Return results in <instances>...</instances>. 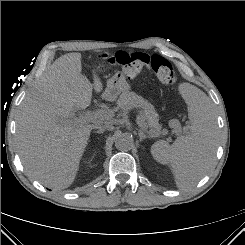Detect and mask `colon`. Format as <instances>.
<instances>
[{
	"instance_id": "colon-1",
	"label": "colon",
	"mask_w": 245,
	"mask_h": 245,
	"mask_svg": "<svg viewBox=\"0 0 245 245\" xmlns=\"http://www.w3.org/2000/svg\"><path fill=\"white\" fill-rule=\"evenodd\" d=\"M108 62L119 66L127 77L136 76L146 66L153 71L162 83L174 84L176 82V74L172 64L169 60L159 55L119 51L110 56ZM98 68L104 70L105 65L99 64Z\"/></svg>"
}]
</instances>
